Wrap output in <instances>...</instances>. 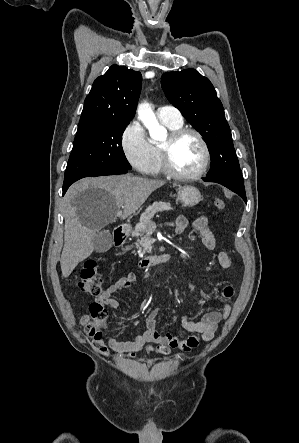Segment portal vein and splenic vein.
<instances>
[{"label": "portal vein and splenic vein", "mask_w": 299, "mask_h": 443, "mask_svg": "<svg viewBox=\"0 0 299 443\" xmlns=\"http://www.w3.org/2000/svg\"><path fill=\"white\" fill-rule=\"evenodd\" d=\"M122 214V212L121 211H119L118 213H117V216H120Z\"/></svg>", "instance_id": "1"}]
</instances>
